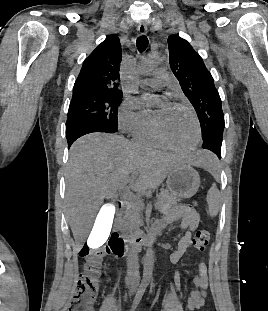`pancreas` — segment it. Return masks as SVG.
<instances>
[{
  "label": "pancreas",
  "instance_id": "obj_1",
  "mask_svg": "<svg viewBox=\"0 0 268 311\" xmlns=\"http://www.w3.org/2000/svg\"><path fill=\"white\" fill-rule=\"evenodd\" d=\"M179 201V198L165 190L159 194L155 205L160 212H166ZM143 208L144 204L141 200H131L128 209L121 214L117 221L119 229L123 232H132V230L138 229L141 224V211Z\"/></svg>",
  "mask_w": 268,
  "mask_h": 311
}]
</instances>
